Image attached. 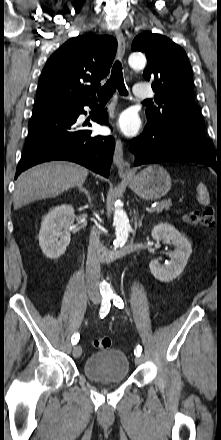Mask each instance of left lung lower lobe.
Masks as SVG:
<instances>
[{
    "instance_id": "1",
    "label": "left lung lower lobe",
    "mask_w": 221,
    "mask_h": 440,
    "mask_svg": "<svg viewBox=\"0 0 221 440\" xmlns=\"http://www.w3.org/2000/svg\"><path fill=\"white\" fill-rule=\"evenodd\" d=\"M205 125L170 119L161 125L148 122L143 133L131 140L135 166L148 163L189 161L212 167L221 176V154L207 138Z\"/></svg>"
}]
</instances>
